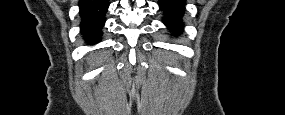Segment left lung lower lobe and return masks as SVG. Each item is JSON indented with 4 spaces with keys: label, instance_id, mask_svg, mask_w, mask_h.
<instances>
[{
    "label": "left lung lower lobe",
    "instance_id": "left-lung-lower-lobe-1",
    "mask_svg": "<svg viewBox=\"0 0 285 115\" xmlns=\"http://www.w3.org/2000/svg\"><path fill=\"white\" fill-rule=\"evenodd\" d=\"M160 10L163 11V23L171 30L173 35L183 31V16L185 13V2L177 0H161L158 2Z\"/></svg>",
    "mask_w": 285,
    "mask_h": 115
}]
</instances>
